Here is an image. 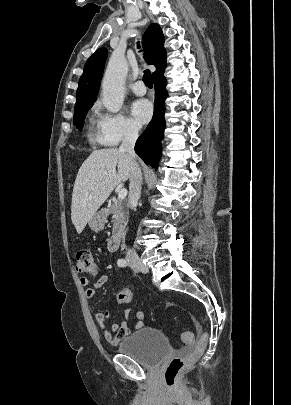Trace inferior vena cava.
<instances>
[{"label":"inferior vena cava","instance_id":"obj_1","mask_svg":"<svg viewBox=\"0 0 291 405\" xmlns=\"http://www.w3.org/2000/svg\"><path fill=\"white\" fill-rule=\"evenodd\" d=\"M138 138V129L135 127H130L126 130L124 139L122 141L119 150L121 152L127 153L132 162H131V173H130V183H129V196L128 202L129 205L133 206L138 203L141 194V185H142V173L139 165L136 162V155L134 151V146ZM127 261H138V255L133 249H129L126 254Z\"/></svg>","mask_w":291,"mask_h":405}]
</instances>
